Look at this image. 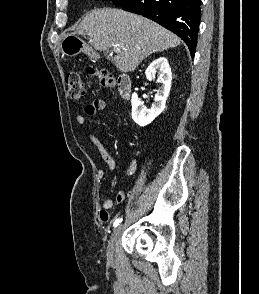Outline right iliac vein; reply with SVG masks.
I'll use <instances>...</instances> for the list:
<instances>
[{"mask_svg": "<svg viewBox=\"0 0 259 294\" xmlns=\"http://www.w3.org/2000/svg\"><path fill=\"white\" fill-rule=\"evenodd\" d=\"M123 226L119 225L112 233L109 243H108V247H107V257L109 260L113 259V255H114V247L116 244V241L122 231Z\"/></svg>", "mask_w": 259, "mask_h": 294, "instance_id": "1", "label": "right iliac vein"}]
</instances>
